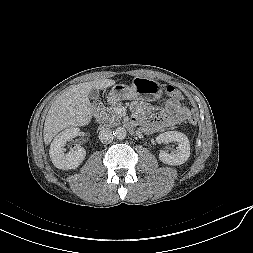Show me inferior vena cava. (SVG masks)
<instances>
[{"label": "inferior vena cava", "instance_id": "obj_1", "mask_svg": "<svg viewBox=\"0 0 253 253\" xmlns=\"http://www.w3.org/2000/svg\"><path fill=\"white\" fill-rule=\"evenodd\" d=\"M98 137L102 143H110L114 139L113 131L110 128L103 127L100 129Z\"/></svg>", "mask_w": 253, "mask_h": 253}]
</instances>
